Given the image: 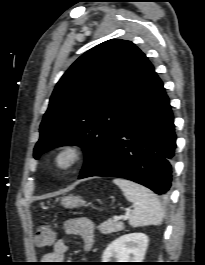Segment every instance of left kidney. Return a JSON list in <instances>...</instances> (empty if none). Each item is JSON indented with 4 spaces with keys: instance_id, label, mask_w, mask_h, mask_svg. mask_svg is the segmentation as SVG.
Returning <instances> with one entry per match:
<instances>
[{
    "instance_id": "obj_1",
    "label": "left kidney",
    "mask_w": 205,
    "mask_h": 265,
    "mask_svg": "<svg viewBox=\"0 0 205 265\" xmlns=\"http://www.w3.org/2000/svg\"><path fill=\"white\" fill-rule=\"evenodd\" d=\"M148 236L143 233H130L111 242L103 252V262H142L148 247Z\"/></svg>"
}]
</instances>
